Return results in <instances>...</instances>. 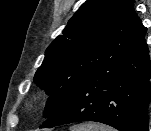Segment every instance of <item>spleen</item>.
Segmentation results:
<instances>
[{
  "label": "spleen",
  "instance_id": "spleen-1",
  "mask_svg": "<svg viewBox=\"0 0 151 131\" xmlns=\"http://www.w3.org/2000/svg\"><path fill=\"white\" fill-rule=\"evenodd\" d=\"M70 131H116L110 126L99 123H85L74 125L70 128Z\"/></svg>",
  "mask_w": 151,
  "mask_h": 131
}]
</instances>
